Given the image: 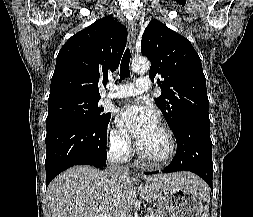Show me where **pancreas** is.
I'll use <instances>...</instances> for the list:
<instances>
[{"label":"pancreas","instance_id":"obj_1","mask_svg":"<svg viewBox=\"0 0 253 217\" xmlns=\"http://www.w3.org/2000/svg\"><path fill=\"white\" fill-rule=\"evenodd\" d=\"M150 217H161L158 211L156 210H150Z\"/></svg>","mask_w":253,"mask_h":217}]
</instances>
